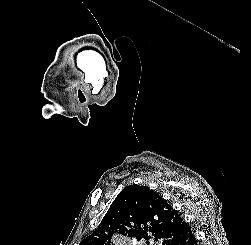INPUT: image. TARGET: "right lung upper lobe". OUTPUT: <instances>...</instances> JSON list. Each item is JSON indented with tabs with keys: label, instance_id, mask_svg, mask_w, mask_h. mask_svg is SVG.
Returning a JSON list of instances; mask_svg holds the SVG:
<instances>
[{
	"label": "right lung upper lobe",
	"instance_id": "cb5924a9",
	"mask_svg": "<svg viewBox=\"0 0 251 245\" xmlns=\"http://www.w3.org/2000/svg\"><path fill=\"white\" fill-rule=\"evenodd\" d=\"M188 228L159 194L145 186L129 185L118 194L96 231L79 245H110L114 233L137 241L155 237L165 245Z\"/></svg>",
	"mask_w": 251,
	"mask_h": 245
}]
</instances>
